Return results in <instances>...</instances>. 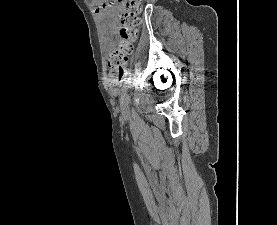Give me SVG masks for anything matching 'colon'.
<instances>
[{"label":"colon","mask_w":277,"mask_h":225,"mask_svg":"<svg viewBox=\"0 0 277 225\" xmlns=\"http://www.w3.org/2000/svg\"><path fill=\"white\" fill-rule=\"evenodd\" d=\"M142 10L141 0H124L123 11L120 13V41L108 59L111 80L121 81L127 74L129 57L134 51V43L138 37L140 24L139 14Z\"/></svg>","instance_id":"obj_1"}]
</instances>
